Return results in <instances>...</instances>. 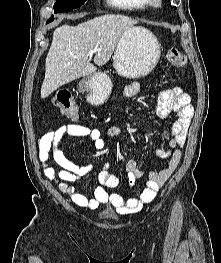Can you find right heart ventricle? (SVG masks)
I'll use <instances>...</instances> for the list:
<instances>
[{
    "instance_id": "1",
    "label": "right heart ventricle",
    "mask_w": 221,
    "mask_h": 263,
    "mask_svg": "<svg viewBox=\"0 0 221 263\" xmlns=\"http://www.w3.org/2000/svg\"><path fill=\"white\" fill-rule=\"evenodd\" d=\"M114 8L128 11H143L149 7V0H107Z\"/></svg>"
}]
</instances>
